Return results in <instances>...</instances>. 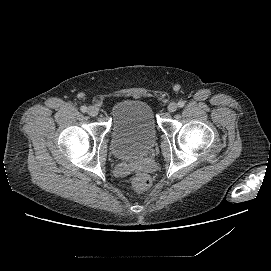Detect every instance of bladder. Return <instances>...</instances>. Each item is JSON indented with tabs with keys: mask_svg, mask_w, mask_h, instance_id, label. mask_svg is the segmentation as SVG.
<instances>
[{
	"mask_svg": "<svg viewBox=\"0 0 271 271\" xmlns=\"http://www.w3.org/2000/svg\"><path fill=\"white\" fill-rule=\"evenodd\" d=\"M111 148L121 160H137L153 148L156 123L152 108L139 100L116 103L111 112Z\"/></svg>",
	"mask_w": 271,
	"mask_h": 271,
	"instance_id": "bladder-1",
	"label": "bladder"
}]
</instances>
